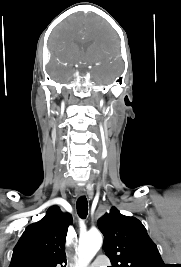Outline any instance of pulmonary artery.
Masks as SVG:
<instances>
[{
    "label": "pulmonary artery",
    "instance_id": "1",
    "mask_svg": "<svg viewBox=\"0 0 181 267\" xmlns=\"http://www.w3.org/2000/svg\"><path fill=\"white\" fill-rule=\"evenodd\" d=\"M105 266H106V260L102 257H99L93 263H91L89 267H105Z\"/></svg>",
    "mask_w": 181,
    "mask_h": 267
}]
</instances>
